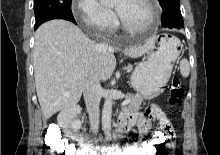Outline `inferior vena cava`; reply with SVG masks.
<instances>
[{"instance_id": "obj_1", "label": "inferior vena cava", "mask_w": 220, "mask_h": 155, "mask_svg": "<svg viewBox=\"0 0 220 155\" xmlns=\"http://www.w3.org/2000/svg\"><path fill=\"white\" fill-rule=\"evenodd\" d=\"M104 47L108 48L107 45ZM102 94L100 80L96 73L92 72L85 81L83 95L89 114L90 128L96 133L99 129V104Z\"/></svg>"}]
</instances>
